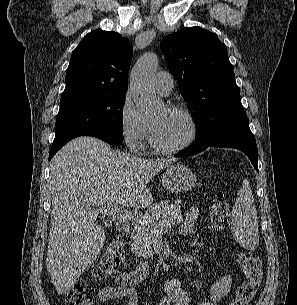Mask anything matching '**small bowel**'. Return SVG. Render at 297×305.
I'll return each mask as SVG.
<instances>
[{
  "label": "small bowel",
  "instance_id": "obj_1",
  "mask_svg": "<svg viewBox=\"0 0 297 305\" xmlns=\"http://www.w3.org/2000/svg\"><path fill=\"white\" fill-rule=\"evenodd\" d=\"M199 216V210L191 207L180 226V236H188L193 232L194 224ZM149 267L142 263L134 270L121 272L114 278L116 286H105L97 292V302L126 300L127 305H138L139 296L134 286L141 283L148 275ZM232 277L225 275L217 279L208 289L207 298L200 302H193L188 292L183 288L179 277H171L165 283V295L159 305H218L231 291Z\"/></svg>",
  "mask_w": 297,
  "mask_h": 305
}]
</instances>
